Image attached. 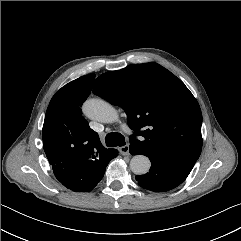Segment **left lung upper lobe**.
Segmentation results:
<instances>
[{"label":"left lung upper lobe","instance_id":"1","mask_svg":"<svg viewBox=\"0 0 241 241\" xmlns=\"http://www.w3.org/2000/svg\"><path fill=\"white\" fill-rule=\"evenodd\" d=\"M93 93L127 114L139 135L130 145L148 157L192 169L202 150V114L185 84L151 62L109 71L94 82Z\"/></svg>","mask_w":241,"mask_h":241}]
</instances>
